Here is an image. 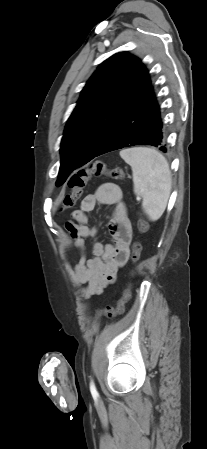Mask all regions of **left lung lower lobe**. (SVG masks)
Instances as JSON below:
<instances>
[{"mask_svg": "<svg viewBox=\"0 0 207 449\" xmlns=\"http://www.w3.org/2000/svg\"><path fill=\"white\" fill-rule=\"evenodd\" d=\"M134 145H150L166 152V135L153 86L107 136L95 157Z\"/></svg>", "mask_w": 207, "mask_h": 449, "instance_id": "1", "label": "left lung lower lobe"}]
</instances>
